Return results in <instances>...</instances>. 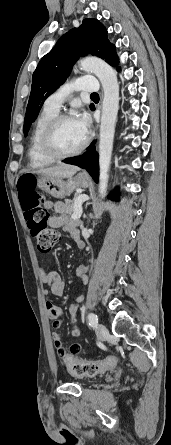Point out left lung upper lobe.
<instances>
[{"instance_id":"1","label":"left lung upper lobe","mask_w":171,"mask_h":445,"mask_svg":"<svg viewBox=\"0 0 171 445\" xmlns=\"http://www.w3.org/2000/svg\"><path fill=\"white\" fill-rule=\"evenodd\" d=\"M92 54L116 67L119 63L115 46L105 27L96 19H85L79 28L65 33L54 48L38 63L32 76V87L24 120L26 136L45 101L69 76L80 55ZM92 109L93 106L90 105Z\"/></svg>"}]
</instances>
